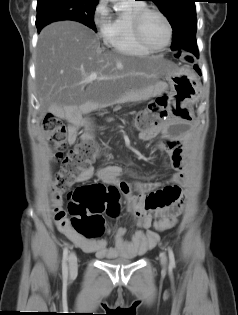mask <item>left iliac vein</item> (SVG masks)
<instances>
[{
  "mask_svg": "<svg viewBox=\"0 0 238 315\" xmlns=\"http://www.w3.org/2000/svg\"><path fill=\"white\" fill-rule=\"evenodd\" d=\"M160 261H161V265L164 269L167 268V264H168V260H167V256L164 252H162L160 254Z\"/></svg>",
  "mask_w": 238,
  "mask_h": 315,
  "instance_id": "obj_1",
  "label": "left iliac vein"
}]
</instances>
